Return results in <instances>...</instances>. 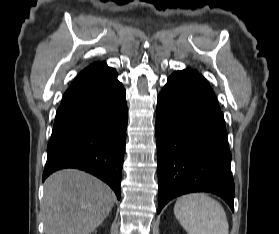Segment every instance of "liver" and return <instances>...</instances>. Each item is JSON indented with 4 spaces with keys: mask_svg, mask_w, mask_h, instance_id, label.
<instances>
[{
    "mask_svg": "<svg viewBox=\"0 0 279 234\" xmlns=\"http://www.w3.org/2000/svg\"><path fill=\"white\" fill-rule=\"evenodd\" d=\"M44 188L45 234H89L106 219L116 200L109 186L76 169L52 174Z\"/></svg>",
    "mask_w": 279,
    "mask_h": 234,
    "instance_id": "6515ba94",
    "label": "liver"
}]
</instances>
